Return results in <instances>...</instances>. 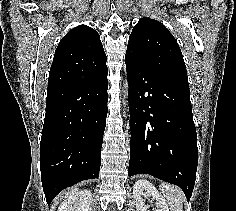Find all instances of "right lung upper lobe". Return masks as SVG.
Instances as JSON below:
<instances>
[{
  "label": "right lung upper lobe",
  "mask_w": 236,
  "mask_h": 211,
  "mask_svg": "<svg viewBox=\"0 0 236 211\" xmlns=\"http://www.w3.org/2000/svg\"><path fill=\"white\" fill-rule=\"evenodd\" d=\"M107 70L99 34L91 27L80 25L69 31L56 48L48 90L89 81Z\"/></svg>",
  "instance_id": "obj_1"
}]
</instances>
